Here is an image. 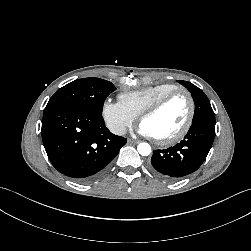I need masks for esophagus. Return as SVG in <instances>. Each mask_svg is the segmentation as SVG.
<instances>
[{
	"label": "esophagus",
	"instance_id": "obj_1",
	"mask_svg": "<svg viewBox=\"0 0 251 251\" xmlns=\"http://www.w3.org/2000/svg\"><path fill=\"white\" fill-rule=\"evenodd\" d=\"M128 143H131V144H138L139 143V140H134V139H128Z\"/></svg>",
	"mask_w": 251,
	"mask_h": 251
}]
</instances>
